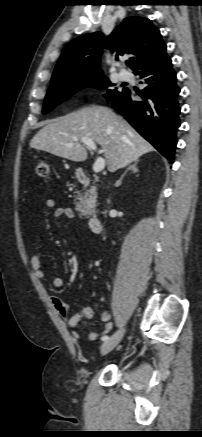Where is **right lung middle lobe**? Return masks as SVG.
Masks as SVG:
<instances>
[{
	"label": "right lung middle lobe",
	"instance_id": "dd1d6c3e",
	"mask_svg": "<svg viewBox=\"0 0 202 437\" xmlns=\"http://www.w3.org/2000/svg\"><path fill=\"white\" fill-rule=\"evenodd\" d=\"M104 75L81 76L72 78L66 81L56 82L51 84L43 106V114H47L57 105L61 104L71 95L87 87L104 90L114 86ZM117 89H108L106 98L119 94Z\"/></svg>",
	"mask_w": 202,
	"mask_h": 437
}]
</instances>
